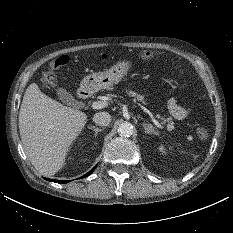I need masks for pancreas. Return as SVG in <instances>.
I'll return each instance as SVG.
<instances>
[{
  "mask_svg": "<svg viewBox=\"0 0 233 233\" xmlns=\"http://www.w3.org/2000/svg\"><path fill=\"white\" fill-rule=\"evenodd\" d=\"M127 94H128L130 97H136L138 101H142L143 103H145V101L143 100V99H144L143 96L138 95V94H136L135 92H133V91H131V90L128 91ZM158 117H160V116L158 115ZM165 122H168L167 127H168L169 130L173 129L174 123H173L171 117H169V118H167V119H164V123H165Z\"/></svg>",
  "mask_w": 233,
  "mask_h": 233,
  "instance_id": "1",
  "label": "pancreas"
}]
</instances>
